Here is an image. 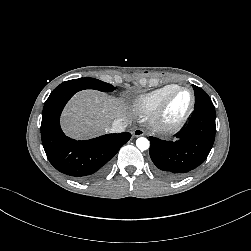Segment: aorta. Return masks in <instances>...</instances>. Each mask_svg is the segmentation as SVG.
Returning a JSON list of instances; mask_svg holds the SVG:
<instances>
[{
    "label": "aorta",
    "instance_id": "aorta-1",
    "mask_svg": "<svg viewBox=\"0 0 251 251\" xmlns=\"http://www.w3.org/2000/svg\"><path fill=\"white\" fill-rule=\"evenodd\" d=\"M136 146L140 149V150H147L150 146V143L148 141V139L144 138V137H140L136 140Z\"/></svg>",
    "mask_w": 251,
    "mask_h": 251
}]
</instances>
